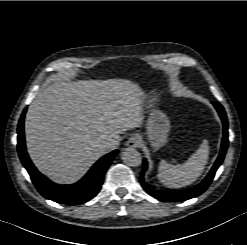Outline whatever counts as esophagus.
Here are the masks:
<instances>
[{
    "instance_id": "esophagus-1",
    "label": "esophagus",
    "mask_w": 247,
    "mask_h": 245,
    "mask_svg": "<svg viewBox=\"0 0 247 245\" xmlns=\"http://www.w3.org/2000/svg\"><path fill=\"white\" fill-rule=\"evenodd\" d=\"M141 142L140 136L137 134L131 136L127 141V146L129 147H138Z\"/></svg>"
}]
</instances>
